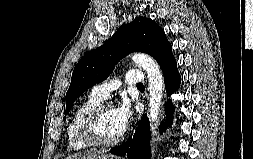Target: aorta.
Masks as SVG:
<instances>
[{"label":"aorta","instance_id":"1","mask_svg":"<svg viewBox=\"0 0 253 159\" xmlns=\"http://www.w3.org/2000/svg\"><path fill=\"white\" fill-rule=\"evenodd\" d=\"M134 63L141 66L148 75L149 90V121L152 130H155L161 114V102L164 94V78L157 62L150 56L135 53L131 56Z\"/></svg>","mask_w":253,"mask_h":159}]
</instances>
